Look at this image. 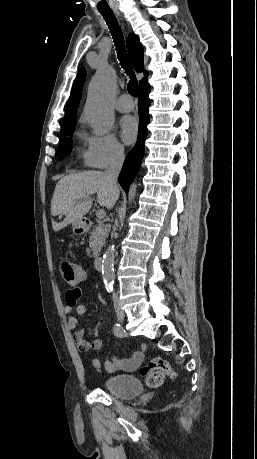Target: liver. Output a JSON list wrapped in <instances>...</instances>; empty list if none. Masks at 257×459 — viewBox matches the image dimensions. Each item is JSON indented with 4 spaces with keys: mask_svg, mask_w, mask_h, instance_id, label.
<instances>
[{
    "mask_svg": "<svg viewBox=\"0 0 257 459\" xmlns=\"http://www.w3.org/2000/svg\"><path fill=\"white\" fill-rule=\"evenodd\" d=\"M95 193L99 205L107 209H111L119 197V190H113L105 172H79L60 179L51 201V213L65 215V219L59 223L52 221L53 230L57 232L81 220L90 210Z\"/></svg>",
    "mask_w": 257,
    "mask_h": 459,
    "instance_id": "6515ba94",
    "label": "liver"
}]
</instances>
